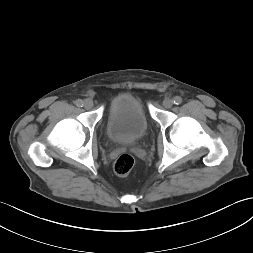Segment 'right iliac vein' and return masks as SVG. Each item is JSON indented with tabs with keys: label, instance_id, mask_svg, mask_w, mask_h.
<instances>
[{
	"label": "right iliac vein",
	"instance_id": "63e3f726",
	"mask_svg": "<svg viewBox=\"0 0 253 253\" xmlns=\"http://www.w3.org/2000/svg\"><path fill=\"white\" fill-rule=\"evenodd\" d=\"M83 106L86 109H91L93 107V101L91 99H85L83 102Z\"/></svg>",
	"mask_w": 253,
	"mask_h": 253
}]
</instances>
